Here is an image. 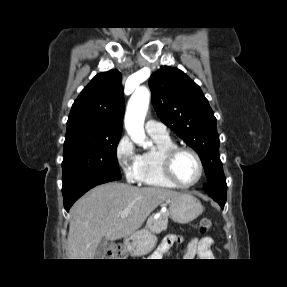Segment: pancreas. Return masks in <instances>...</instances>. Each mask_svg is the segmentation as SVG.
<instances>
[{
	"label": "pancreas",
	"instance_id": "cf45deb5",
	"mask_svg": "<svg viewBox=\"0 0 287 287\" xmlns=\"http://www.w3.org/2000/svg\"><path fill=\"white\" fill-rule=\"evenodd\" d=\"M168 226V213H162L158 218L150 217L147 220L146 228L151 233H160L167 229Z\"/></svg>",
	"mask_w": 287,
	"mask_h": 287
}]
</instances>
